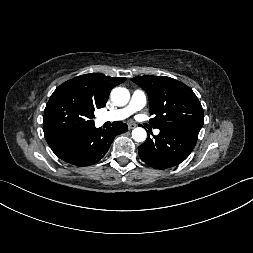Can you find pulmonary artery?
Returning a JSON list of instances; mask_svg holds the SVG:
<instances>
[{"instance_id":"1","label":"pulmonary artery","mask_w":253,"mask_h":253,"mask_svg":"<svg viewBox=\"0 0 253 253\" xmlns=\"http://www.w3.org/2000/svg\"><path fill=\"white\" fill-rule=\"evenodd\" d=\"M146 102L147 96L145 92L139 89L134 90L129 103L125 107L100 114L98 121L100 123H105L124 120L131 116L133 113L141 110L146 105ZM154 133L158 134L159 130L155 129Z\"/></svg>"}]
</instances>
